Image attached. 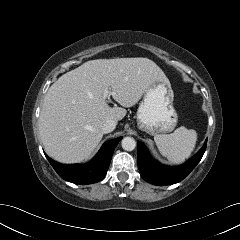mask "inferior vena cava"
Wrapping results in <instances>:
<instances>
[{
  "label": "inferior vena cava",
  "mask_w": 240,
  "mask_h": 240,
  "mask_svg": "<svg viewBox=\"0 0 240 240\" xmlns=\"http://www.w3.org/2000/svg\"><path fill=\"white\" fill-rule=\"evenodd\" d=\"M117 122L112 119H108L107 121L104 122L102 125V132L103 133H109L112 132L115 127H116Z\"/></svg>",
  "instance_id": "inferior-vena-cava-1"
}]
</instances>
